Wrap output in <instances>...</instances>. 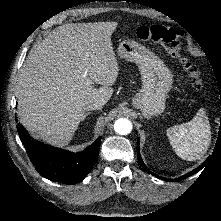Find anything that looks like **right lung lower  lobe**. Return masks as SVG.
Segmentation results:
<instances>
[{
    "mask_svg": "<svg viewBox=\"0 0 221 221\" xmlns=\"http://www.w3.org/2000/svg\"><path fill=\"white\" fill-rule=\"evenodd\" d=\"M17 130L35 169L52 181L64 184L80 182L90 172L99 155L101 137L82 152L73 153L32 139L20 124Z\"/></svg>",
    "mask_w": 221,
    "mask_h": 221,
    "instance_id": "1",
    "label": "right lung lower lobe"
}]
</instances>
